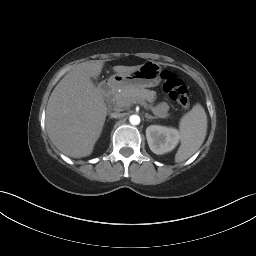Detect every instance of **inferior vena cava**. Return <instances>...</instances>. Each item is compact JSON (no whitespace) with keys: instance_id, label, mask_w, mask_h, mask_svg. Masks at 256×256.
Instances as JSON below:
<instances>
[{"instance_id":"inferior-vena-cava-1","label":"inferior vena cava","mask_w":256,"mask_h":256,"mask_svg":"<svg viewBox=\"0 0 256 256\" xmlns=\"http://www.w3.org/2000/svg\"><path fill=\"white\" fill-rule=\"evenodd\" d=\"M122 114L119 110H116L115 112L110 113V118H120Z\"/></svg>"}]
</instances>
